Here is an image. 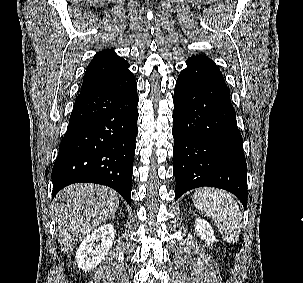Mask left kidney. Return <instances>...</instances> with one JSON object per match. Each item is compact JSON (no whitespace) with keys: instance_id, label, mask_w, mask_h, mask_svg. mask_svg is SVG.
<instances>
[{"instance_id":"obj_1","label":"left kidney","mask_w":303,"mask_h":283,"mask_svg":"<svg viewBox=\"0 0 303 283\" xmlns=\"http://www.w3.org/2000/svg\"><path fill=\"white\" fill-rule=\"evenodd\" d=\"M195 231L208 245L214 243L216 240L211 225L202 218H197L195 220Z\"/></svg>"}]
</instances>
